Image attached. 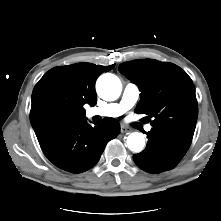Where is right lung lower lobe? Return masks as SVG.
<instances>
[{
  "instance_id": "right-lung-lower-lobe-1",
  "label": "right lung lower lobe",
  "mask_w": 221,
  "mask_h": 221,
  "mask_svg": "<svg viewBox=\"0 0 221 221\" xmlns=\"http://www.w3.org/2000/svg\"><path fill=\"white\" fill-rule=\"evenodd\" d=\"M120 132L113 118L92 127L86 119L64 124L39 141L45 156L57 167L72 173L92 168L111 139Z\"/></svg>"
}]
</instances>
